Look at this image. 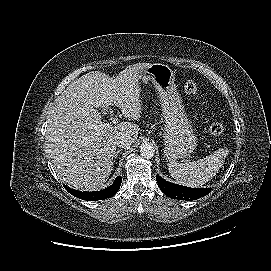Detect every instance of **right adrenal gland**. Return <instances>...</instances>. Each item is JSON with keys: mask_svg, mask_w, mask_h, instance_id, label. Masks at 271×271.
I'll return each mask as SVG.
<instances>
[{"mask_svg": "<svg viewBox=\"0 0 271 271\" xmlns=\"http://www.w3.org/2000/svg\"><path fill=\"white\" fill-rule=\"evenodd\" d=\"M121 150H117L116 151V155H115V158H117L118 154L120 153Z\"/></svg>", "mask_w": 271, "mask_h": 271, "instance_id": "obj_1", "label": "right adrenal gland"}]
</instances>
